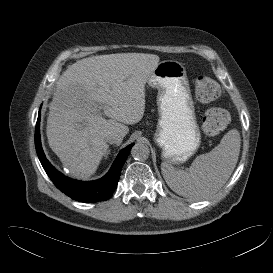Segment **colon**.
<instances>
[{"mask_svg":"<svg viewBox=\"0 0 273 273\" xmlns=\"http://www.w3.org/2000/svg\"><path fill=\"white\" fill-rule=\"evenodd\" d=\"M194 87L197 97L203 102L213 101L220 94L218 84L208 77H198L195 80ZM228 121L229 116L224 109L212 108L203 116L201 128L204 134L215 136L225 130Z\"/></svg>","mask_w":273,"mask_h":273,"instance_id":"obj_1","label":"colon"}]
</instances>
